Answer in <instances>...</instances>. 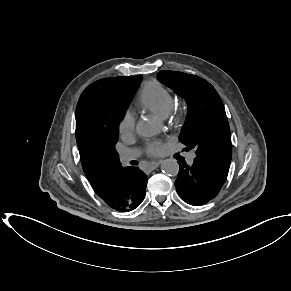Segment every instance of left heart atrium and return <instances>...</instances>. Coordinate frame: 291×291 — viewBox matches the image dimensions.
I'll use <instances>...</instances> for the list:
<instances>
[{
	"mask_svg": "<svg viewBox=\"0 0 291 291\" xmlns=\"http://www.w3.org/2000/svg\"><path fill=\"white\" fill-rule=\"evenodd\" d=\"M146 151L150 156H159L165 151V145L160 141H151L147 144Z\"/></svg>",
	"mask_w": 291,
	"mask_h": 291,
	"instance_id": "left-heart-atrium-1",
	"label": "left heart atrium"
}]
</instances>
